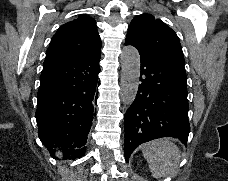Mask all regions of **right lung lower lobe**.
<instances>
[{"instance_id": "obj_1", "label": "right lung lower lobe", "mask_w": 228, "mask_h": 181, "mask_svg": "<svg viewBox=\"0 0 228 181\" xmlns=\"http://www.w3.org/2000/svg\"><path fill=\"white\" fill-rule=\"evenodd\" d=\"M100 51L43 68L36 119L41 142L65 158L84 155L96 101Z\"/></svg>"}]
</instances>
